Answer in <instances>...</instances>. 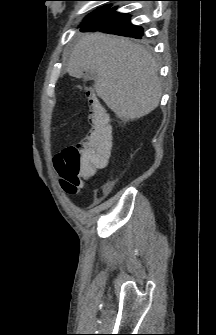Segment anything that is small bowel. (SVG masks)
I'll return each instance as SVG.
<instances>
[{"mask_svg": "<svg viewBox=\"0 0 216 335\" xmlns=\"http://www.w3.org/2000/svg\"><path fill=\"white\" fill-rule=\"evenodd\" d=\"M110 141V140H109ZM112 144V143H111ZM111 153H112V151H111ZM84 179V181L85 180H89V179H91V178H83ZM83 187V185H79V189H81Z\"/></svg>", "mask_w": 216, "mask_h": 335, "instance_id": "1", "label": "small bowel"}]
</instances>
